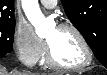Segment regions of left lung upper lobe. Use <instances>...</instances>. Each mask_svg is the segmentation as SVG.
I'll return each instance as SVG.
<instances>
[{"instance_id": "obj_1", "label": "left lung upper lobe", "mask_w": 107, "mask_h": 75, "mask_svg": "<svg viewBox=\"0 0 107 75\" xmlns=\"http://www.w3.org/2000/svg\"><path fill=\"white\" fill-rule=\"evenodd\" d=\"M67 17L82 33L96 55L107 52V0H61ZM107 63V54L105 55ZM107 68V64H104Z\"/></svg>"}]
</instances>
